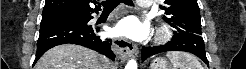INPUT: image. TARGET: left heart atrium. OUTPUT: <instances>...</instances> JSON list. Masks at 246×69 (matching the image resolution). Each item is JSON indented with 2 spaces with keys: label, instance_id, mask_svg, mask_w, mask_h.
Returning <instances> with one entry per match:
<instances>
[{
  "label": "left heart atrium",
  "instance_id": "39dd6f15",
  "mask_svg": "<svg viewBox=\"0 0 246 69\" xmlns=\"http://www.w3.org/2000/svg\"><path fill=\"white\" fill-rule=\"evenodd\" d=\"M114 32L117 35L141 40L147 36L148 28L136 16H128L117 23Z\"/></svg>",
  "mask_w": 246,
  "mask_h": 69
}]
</instances>
